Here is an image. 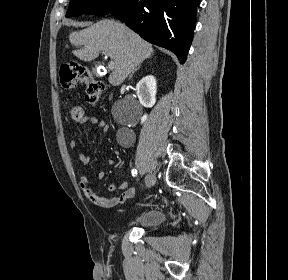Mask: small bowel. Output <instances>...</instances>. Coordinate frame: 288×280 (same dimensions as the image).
Wrapping results in <instances>:
<instances>
[{"label": "small bowel", "instance_id": "obj_1", "mask_svg": "<svg viewBox=\"0 0 288 280\" xmlns=\"http://www.w3.org/2000/svg\"><path fill=\"white\" fill-rule=\"evenodd\" d=\"M81 123H90L99 128L104 133L109 129L108 125L103 120H100L94 116L84 117L81 120ZM79 132L80 131L77 130L73 133V135L76 136L79 134ZM70 148L77 152L81 165L85 167L90 161L89 156L80 151L78 143L75 140L70 142ZM109 163L112 164V161H109ZM105 176V172L100 171L97 175V178L99 180H103ZM79 186L85 199L92 205L102 209H110L122 205L132 200L136 194V189L133 186H129L128 183L124 180H122L118 185L115 182H112L108 186V192L110 193L114 192L116 189H119L120 195L116 197H104L98 195L91 187L89 179L86 176L80 177Z\"/></svg>", "mask_w": 288, "mask_h": 280}]
</instances>
